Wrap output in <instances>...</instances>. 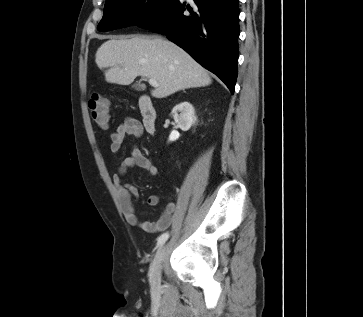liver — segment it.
<instances>
[{"instance_id": "liver-1", "label": "liver", "mask_w": 363, "mask_h": 317, "mask_svg": "<svg viewBox=\"0 0 363 317\" xmlns=\"http://www.w3.org/2000/svg\"><path fill=\"white\" fill-rule=\"evenodd\" d=\"M95 62L100 69L108 68V83L129 85L137 76L155 79L159 84L151 91L155 98L212 82L207 71L187 52L159 36L110 39L98 48Z\"/></svg>"}]
</instances>
